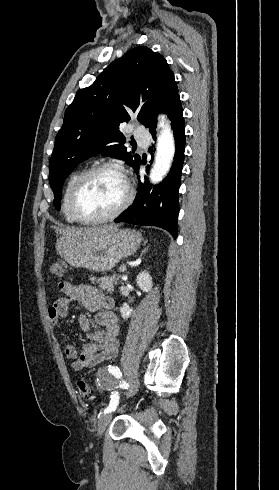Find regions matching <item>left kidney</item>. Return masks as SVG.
<instances>
[{
	"label": "left kidney",
	"instance_id": "obj_1",
	"mask_svg": "<svg viewBox=\"0 0 279 490\" xmlns=\"http://www.w3.org/2000/svg\"><path fill=\"white\" fill-rule=\"evenodd\" d=\"M137 286H139L140 290L142 292H151L152 288V278L147 272V270H144V272H140L136 278ZM134 310L133 308H130L129 304L127 302H124L120 308V314L123 318V320H128L130 318L131 314H133Z\"/></svg>",
	"mask_w": 279,
	"mask_h": 490
}]
</instances>
